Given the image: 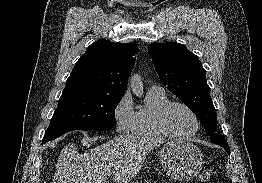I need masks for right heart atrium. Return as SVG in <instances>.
<instances>
[{
	"label": "right heart atrium",
	"instance_id": "obj_1",
	"mask_svg": "<svg viewBox=\"0 0 262 183\" xmlns=\"http://www.w3.org/2000/svg\"><path fill=\"white\" fill-rule=\"evenodd\" d=\"M135 113L131 95L126 92L113 109V118L118 133H129L132 131Z\"/></svg>",
	"mask_w": 262,
	"mask_h": 183
}]
</instances>
